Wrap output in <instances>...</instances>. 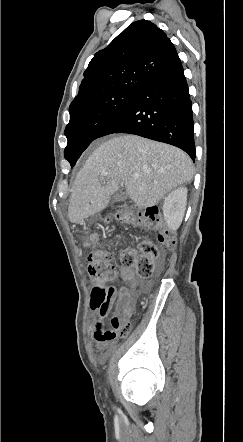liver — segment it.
Returning <instances> with one entry per match:
<instances>
[{
  "instance_id": "6515ba94",
  "label": "liver",
  "mask_w": 243,
  "mask_h": 442,
  "mask_svg": "<svg viewBox=\"0 0 243 442\" xmlns=\"http://www.w3.org/2000/svg\"><path fill=\"white\" fill-rule=\"evenodd\" d=\"M103 173L106 175L101 177ZM134 173L139 174L138 179L132 177ZM193 174L190 157L174 146L136 135L115 136L102 143L76 175L69 221L78 223L105 209L121 181L129 198L138 207L147 208L190 182Z\"/></svg>"
}]
</instances>
